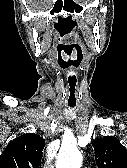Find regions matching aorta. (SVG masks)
<instances>
[{
	"instance_id": "obj_1",
	"label": "aorta",
	"mask_w": 127,
	"mask_h": 168,
	"mask_svg": "<svg viewBox=\"0 0 127 168\" xmlns=\"http://www.w3.org/2000/svg\"><path fill=\"white\" fill-rule=\"evenodd\" d=\"M82 155L76 146L62 147L56 162V168H80Z\"/></svg>"
}]
</instances>
